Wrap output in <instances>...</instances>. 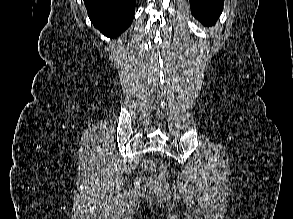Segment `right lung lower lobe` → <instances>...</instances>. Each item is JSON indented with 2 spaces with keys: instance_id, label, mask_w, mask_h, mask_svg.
<instances>
[{
  "instance_id": "1",
  "label": "right lung lower lobe",
  "mask_w": 293,
  "mask_h": 219,
  "mask_svg": "<svg viewBox=\"0 0 293 219\" xmlns=\"http://www.w3.org/2000/svg\"><path fill=\"white\" fill-rule=\"evenodd\" d=\"M93 25L107 37L115 38L132 23L135 0H84Z\"/></svg>"
}]
</instances>
